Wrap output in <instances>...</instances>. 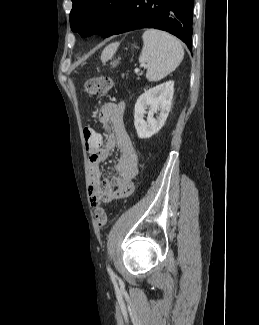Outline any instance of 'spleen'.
<instances>
[{
  "instance_id": "1",
  "label": "spleen",
  "mask_w": 259,
  "mask_h": 325,
  "mask_svg": "<svg viewBox=\"0 0 259 325\" xmlns=\"http://www.w3.org/2000/svg\"><path fill=\"white\" fill-rule=\"evenodd\" d=\"M140 63H147L146 78L159 81L173 72L184 57L180 41L173 35L157 29H148L143 35Z\"/></svg>"
}]
</instances>
